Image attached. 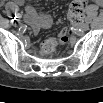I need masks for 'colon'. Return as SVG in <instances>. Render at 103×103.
<instances>
[{
    "label": "colon",
    "mask_w": 103,
    "mask_h": 103,
    "mask_svg": "<svg viewBox=\"0 0 103 103\" xmlns=\"http://www.w3.org/2000/svg\"><path fill=\"white\" fill-rule=\"evenodd\" d=\"M86 10V2L83 0H75L69 7V19L72 24V28L69 31H63L57 39L50 38L43 42L41 46L42 54H51L58 45L64 44L68 41V36L71 35L77 28V26L83 21Z\"/></svg>",
    "instance_id": "obj_1"
}]
</instances>
